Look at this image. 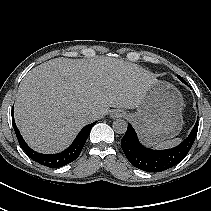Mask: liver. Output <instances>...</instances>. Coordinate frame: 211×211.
<instances>
[{
    "instance_id": "1",
    "label": "liver",
    "mask_w": 211,
    "mask_h": 211,
    "mask_svg": "<svg viewBox=\"0 0 211 211\" xmlns=\"http://www.w3.org/2000/svg\"><path fill=\"white\" fill-rule=\"evenodd\" d=\"M156 81L148 71L123 60L55 58L27 73L15 101V121L34 150L55 153L110 107L138 108Z\"/></svg>"
}]
</instances>
